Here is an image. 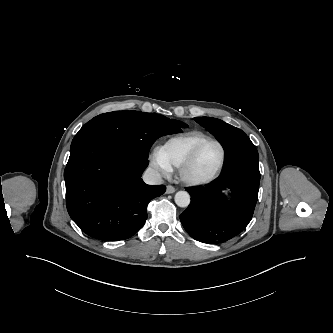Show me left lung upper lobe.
Listing matches in <instances>:
<instances>
[{
	"label": "left lung upper lobe",
	"instance_id": "left-lung-upper-lobe-1",
	"mask_svg": "<svg viewBox=\"0 0 333 333\" xmlns=\"http://www.w3.org/2000/svg\"><path fill=\"white\" fill-rule=\"evenodd\" d=\"M194 120L211 132L224 149L235 138L246 135L242 130L216 118L195 117Z\"/></svg>",
	"mask_w": 333,
	"mask_h": 333
}]
</instances>
